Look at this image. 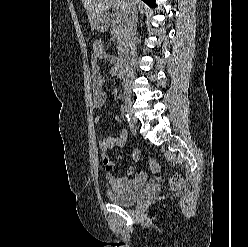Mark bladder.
I'll return each mask as SVG.
<instances>
[{"instance_id": "1", "label": "bladder", "mask_w": 248, "mask_h": 247, "mask_svg": "<svg viewBox=\"0 0 248 247\" xmlns=\"http://www.w3.org/2000/svg\"><path fill=\"white\" fill-rule=\"evenodd\" d=\"M151 191V185L150 184H144L136 188L133 192L125 193V192H119V191H110L108 193L109 199L117 204V205H132L136 203L137 201L141 200L145 196H147Z\"/></svg>"}]
</instances>
